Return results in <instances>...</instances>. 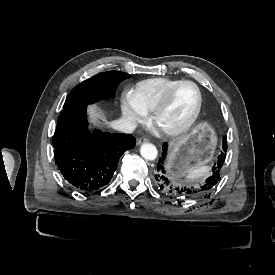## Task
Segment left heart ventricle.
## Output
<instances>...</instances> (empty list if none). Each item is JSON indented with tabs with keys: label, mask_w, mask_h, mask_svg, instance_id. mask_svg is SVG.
Returning <instances> with one entry per match:
<instances>
[{
	"label": "left heart ventricle",
	"mask_w": 275,
	"mask_h": 275,
	"mask_svg": "<svg viewBox=\"0 0 275 275\" xmlns=\"http://www.w3.org/2000/svg\"><path fill=\"white\" fill-rule=\"evenodd\" d=\"M197 100V91L192 84L177 87L168 108L159 116L157 127L165 130L182 125L193 113Z\"/></svg>",
	"instance_id": "left-heart-ventricle-1"
}]
</instances>
